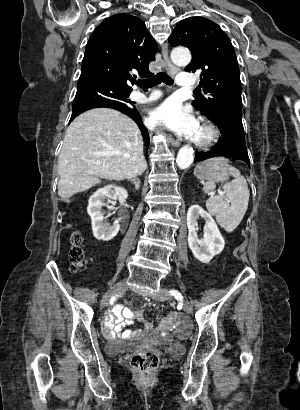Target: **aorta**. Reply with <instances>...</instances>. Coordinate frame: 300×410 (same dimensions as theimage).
I'll return each mask as SVG.
<instances>
[{
    "label": "aorta",
    "mask_w": 300,
    "mask_h": 410,
    "mask_svg": "<svg viewBox=\"0 0 300 410\" xmlns=\"http://www.w3.org/2000/svg\"><path fill=\"white\" fill-rule=\"evenodd\" d=\"M171 59L178 66H186L191 61V53L185 48H175L171 52ZM193 160V149L189 146H183L177 154L176 163L180 169H186L193 163Z\"/></svg>",
    "instance_id": "762f6f07"
}]
</instances>
